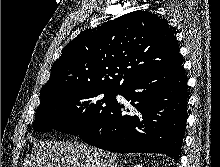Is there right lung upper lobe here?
<instances>
[{"mask_svg":"<svg viewBox=\"0 0 220 167\" xmlns=\"http://www.w3.org/2000/svg\"><path fill=\"white\" fill-rule=\"evenodd\" d=\"M174 32L166 20L142 10L81 32L53 63L40 91L41 102L77 88L119 90L138 78L180 66Z\"/></svg>","mask_w":220,"mask_h":167,"instance_id":"right-lung-upper-lobe-1","label":"right lung upper lobe"}]
</instances>
